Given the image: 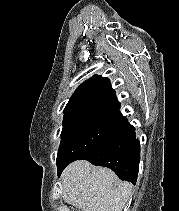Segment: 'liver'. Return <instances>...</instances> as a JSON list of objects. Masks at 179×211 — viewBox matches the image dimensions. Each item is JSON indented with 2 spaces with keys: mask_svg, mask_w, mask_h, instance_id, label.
I'll return each mask as SVG.
<instances>
[{
  "mask_svg": "<svg viewBox=\"0 0 179 211\" xmlns=\"http://www.w3.org/2000/svg\"><path fill=\"white\" fill-rule=\"evenodd\" d=\"M61 180L64 201L81 211H122L132 191L112 170L85 160L69 164Z\"/></svg>",
  "mask_w": 179,
  "mask_h": 211,
  "instance_id": "1",
  "label": "liver"
}]
</instances>
